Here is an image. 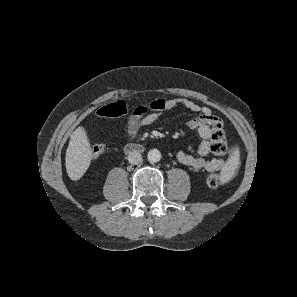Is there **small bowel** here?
I'll return each instance as SVG.
<instances>
[{"mask_svg":"<svg viewBox=\"0 0 297 297\" xmlns=\"http://www.w3.org/2000/svg\"><path fill=\"white\" fill-rule=\"evenodd\" d=\"M146 110L140 114H132L126 124V133L129 138H134L140 127L148 126L156 122L163 113L176 107H183L187 110L197 113L196 116L187 121V127L198 132L201 142L198 146L197 156L191 155L185 151L177 153V160L194 170L206 171L209 173L221 171L225 166V160L222 158L205 159L210 152L212 127L219 121L211 110L201 106L198 103L185 98L173 97L169 99L157 98L148 103Z\"/></svg>","mask_w":297,"mask_h":297,"instance_id":"obj_1","label":"small bowel"}]
</instances>
